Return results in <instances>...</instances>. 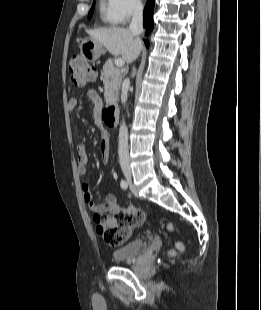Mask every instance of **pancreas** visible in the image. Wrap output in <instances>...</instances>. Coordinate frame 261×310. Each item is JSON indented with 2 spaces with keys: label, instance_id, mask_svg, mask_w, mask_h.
Returning a JSON list of instances; mask_svg holds the SVG:
<instances>
[{
  "label": "pancreas",
  "instance_id": "pancreas-1",
  "mask_svg": "<svg viewBox=\"0 0 261 310\" xmlns=\"http://www.w3.org/2000/svg\"><path fill=\"white\" fill-rule=\"evenodd\" d=\"M122 78V72L113 65V61L111 59L106 61L103 66V84L104 97L108 104L117 101Z\"/></svg>",
  "mask_w": 261,
  "mask_h": 310
}]
</instances>
